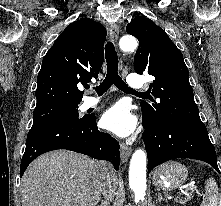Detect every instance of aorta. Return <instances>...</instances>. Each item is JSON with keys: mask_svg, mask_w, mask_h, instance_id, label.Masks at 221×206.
Here are the masks:
<instances>
[{"mask_svg": "<svg viewBox=\"0 0 221 206\" xmlns=\"http://www.w3.org/2000/svg\"><path fill=\"white\" fill-rule=\"evenodd\" d=\"M119 46L124 52L134 51L138 42L132 35H125L119 41ZM146 153L142 149L136 150L131 158L129 167V185L135 195V202L143 200L146 195Z\"/></svg>", "mask_w": 221, "mask_h": 206, "instance_id": "obj_1", "label": "aorta"}]
</instances>
